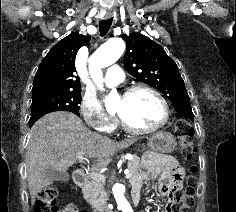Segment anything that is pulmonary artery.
Returning a JSON list of instances; mask_svg holds the SVG:
<instances>
[{
    "mask_svg": "<svg viewBox=\"0 0 236 212\" xmlns=\"http://www.w3.org/2000/svg\"><path fill=\"white\" fill-rule=\"evenodd\" d=\"M124 80V72L118 65H112L107 69L105 86L113 87Z\"/></svg>",
    "mask_w": 236,
    "mask_h": 212,
    "instance_id": "obj_1",
    "label": "pulmonary artery"
}]
</instances>
